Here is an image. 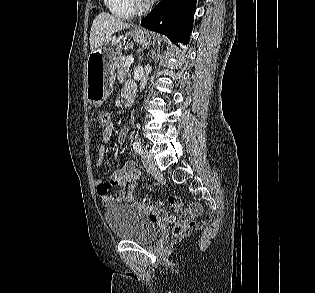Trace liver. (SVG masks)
<instances>
[{
    "mask_svg": "<svg viewBox=\"0 0 315 293\" xmlns=\"http://www.w3.org/2000/svg\"><path fill=\"white\" fill-rule=\"evenodd\" d=\"M130 27L129 23L122 21L120 18L109 13H99L91 26L90 32V49L96 50L99 46L109 42L112 35L123 29Z\"/></svg>",
    "mask_w": 315,
    "mask_h": 293,
    "instance_id": "6515ba94",
    "label": "liver"
}]
</instances>
